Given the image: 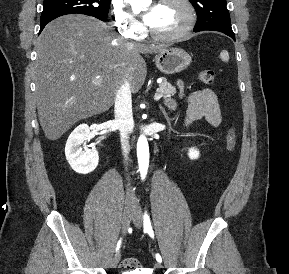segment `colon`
<instances>
[{
    "label": "colon",
    "instance_id": "1",
    "mask_svg": "<svg viewBox=\"0 0 289 274\" xmlns=\"http://www.w3.org/2000/svg\"><path fill=\"white\" fill-rule=\"evenodd\" d=\"M199 79L204 84H212L215 79V73L212 69H202L199 72ZM237 144L236 134L233 128H230L226 134V147L229 151H233ZM122 268L127 271H141L146 274L148 273L147 270H144L140 267V262L133 257H129L123 260Z\"/></svg>",
    "mask_w": 289,
    "mask_h": 274
}]
</instances>
